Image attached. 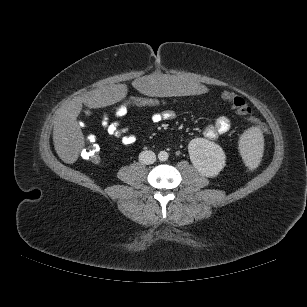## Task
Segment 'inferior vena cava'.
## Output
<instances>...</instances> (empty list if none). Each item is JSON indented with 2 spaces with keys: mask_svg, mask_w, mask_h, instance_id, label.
<instances>
[{
  "mask_svg": "<svg viewBox=\"0 0 307 307\" xmlns=\"http://www.w3.org/2000/svg\"><path fill=\"white\" fill-rule=\"evenodd\" d=\"M139 161L142 163V164H146V165H150V164H153L155 161H156V155L153 151L151 150H145V151H142L140 154H139Z\"/></svg>",
  "mask_w": 307,
  "mask_h": 307,
  "instance_id": "1",
  "label": "inferior vena cava"
}]
</instances>
